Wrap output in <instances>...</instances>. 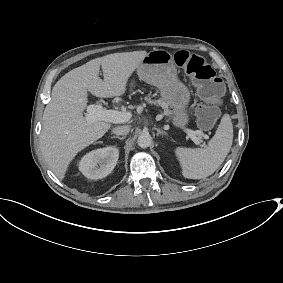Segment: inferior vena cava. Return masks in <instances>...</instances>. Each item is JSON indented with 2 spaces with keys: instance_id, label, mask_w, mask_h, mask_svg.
Segmentation results:
<instances>
[{
  "instance_id": "602c4592",
  "label": "inferior vena cava",
  "mask_w": 283,
  "mask_h": 283,
  "mask_svg": "<svg viewBox=\"0 0 283 283\" xmlns=\"http://www.w3.org/2000/svg\"><path fill=\"white\" fill-rule=\"evenodd\" d=\"M130 131V126H118L113 129V133L117 135H127Z\"/></svg>"
}]
</instances>
